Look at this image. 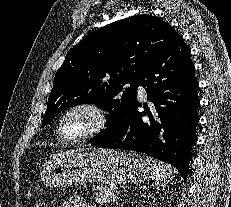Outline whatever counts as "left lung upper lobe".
I'll return each mask as SVG.
<instances>
[{"label":"left lung upper lobe","instance_id":"left-lung-upper-lobe-1","mask_svg":"<svg viewBox=\"0 0 231 207\" xmlns=\"http://www.w3.org/2000/svg\"><path fill=\"white\" fill-rule=\"evenodd\" d=\"M180 37L153 15L131 16L92 32L69 50L56 72L42 127L66 108L91 103L109 112L107 129L94 139L115 131L136 102L146 65Z\"/></svg>","mask_w":231,"mask_h":207}]
</instances>
